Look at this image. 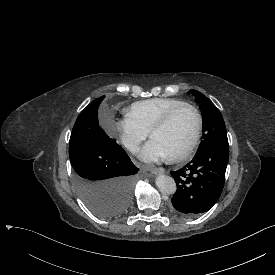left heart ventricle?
I'll return each mask as SVG.
<instances>
[{"instance_id":"obj_1","label":"left heart ventricle","mask_w":275,"mask_h":275,"mask_svg":"<svg viewBox=\"0 0 275 275\" xmlns=\"http://www.w3.org/2000/svg\"><path fill=\"white\" fill-rule=\"evenodd\" d=\"M195 128L193 113L182 110L177 113L170 125L153 135V140L157 142L169 156L182 150L191 140Z\"/></svg>"}]
</instances>
